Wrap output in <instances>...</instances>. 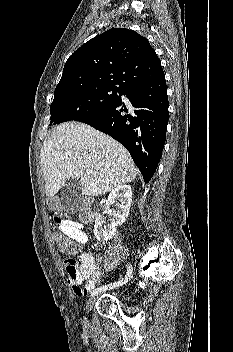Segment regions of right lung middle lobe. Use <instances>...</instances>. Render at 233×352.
<instances>
[{"label":"right lung middle lobe","mask_w":233,"mask_h":352,"mask_svg":"<svg viewBox=\"0 0 233 352\" xmlns=\"http://www.w3.org/2000/svg\"><path fill=\"white\" fill-rule=\"evenodd\" d=\"M126 89L115 85L82 87L54 96L50 106V125L80 119L98 113L121 99Z\"/></svg>","instance_id":"dd1d6c3e"}]
</instances>
